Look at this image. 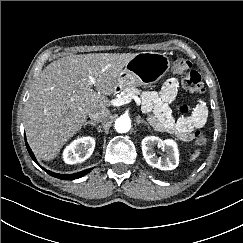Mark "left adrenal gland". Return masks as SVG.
Instances as JSON below:
<instances>
[{
  "mask_svg": "<svg viewBox=\"0 0 243 243\" xmlns=\"http://www.w3.org/2000/svg\"><path fill=\"white\" fill-rule=\"evenodd\" d=\"M136 122H137L138 124H148L145 120H142V119L140 118V116H137V117H136Z\"/></svg>",
  "mask_w": 243,
  "mask_h": 243,
  "instance_id": "a2214340",
  "label": "left adrenal gland"
}]
</instances>
